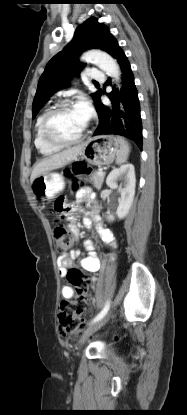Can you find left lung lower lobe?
<instances>
[{
  "label": "left lung lower lobe",
  "instance_id": "0a47b994",
  "mask_svg": "<svg viewBox=\"0 0 187 415\" xmlns=\"http://www.w3.org/2000/svg\"><path fill=\"white\" fill-rule=\"evenodd\" d=\"M108 53L114 57L122 72V89L118 93L115 88L107 96L112 101V109L105 107L101 96L95 104L99 124L94 136L117 134L133 140L142 148V124L137 89L130 64L117 41L111 44Z\"/></svg>",
  "mask_w": 187,
  "mask_h": 415
}]
</instances>
